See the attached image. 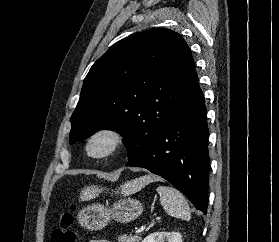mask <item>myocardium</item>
Segmentation results:
<instances>
[{
    "label": "myocardium",
    "mask_w": 279,
    "mask_h": 242,
    "mask_svg": "<svg viewBox=\"0 0 279 242\" xmlns=\"http://www.w3.org/2000/svg\"><path fill=\"white\" fill-rule=\"evenodd\" d=\"M104 138L108 141L107 148L99 153L94 154L91 150L92 144L97 140ZM124 143V135L123 133L112 126H103L94 130L86 141V153L87 155L96 160L106 159L112 155H114L123 145Z\"/></svg>",
    "instance_id": "myocardium-1"
}]
</instances>
